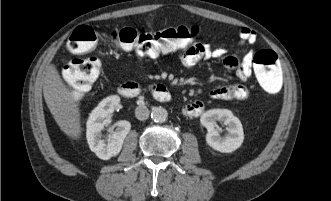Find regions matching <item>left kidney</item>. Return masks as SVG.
<instances>
[{
    "instance_id": "left-kidney-1",
    "label": "left kidney",
    "mask_w": 331,
    "mask_h": 201,
    "mask_svg": "<svg viewBox=\"0 0 331 201\" xmlns=\"http://www.w3.org/2000/svg\"><path fill=\"white\" fill-rule=\"evenodd\" d=\"M201 124L206 127V142L214 150L229 153L238 149L244 140L241 121L228 109H211L202 114ZM217 121L226 125L228 134L221 137Z\"/></svg>"
}]
</instances>
